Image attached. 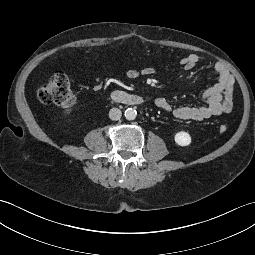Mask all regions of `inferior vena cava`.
I'll list each match as a JSON object with an SVG mask.
<instances>
[{"label": "inferior vena cava", "mask_w": 255, "mask_h": 255, "mask_svg": "<svg viewBox=\"0 0 255 255\" xmlns=\"http://www.w3.org/2000/svg\"><path fill=\"white\" fill-rule=\"evenodd\" d=\"M122 112L118 108H112L109 111V118L113 121H117L121 118Z\"/></svg>", "instance_id": "obj_1"}]
</instances>
